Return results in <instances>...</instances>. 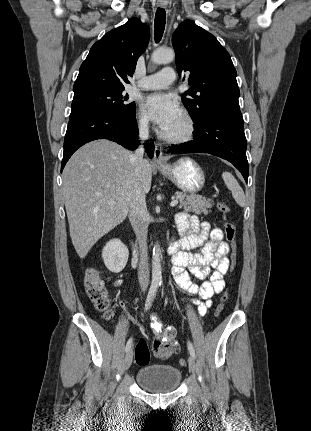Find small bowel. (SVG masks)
Here are the masks:
<instances>
[{
  "label": "small bowel",
  "mask_w": 311,
  "mask_h": 431,
  "mask_svg": "<svg viewBox=\"0 0 311 431\" xmlns=\"http://www.w3.org/2000/svg\"><path fill=\"white\" fill-rule=\"evenodd\" d=\"M176 225L180 239L174 243L171 253L173 274L186 293L198 297L192 301L204 314L211 306V298L225 287L229 245L223 241L220 228H211L208 222H201L195 215L178 213ZM185 269L202 283H193ZM151 327L157 335L163 334L165 339L174 341L176 330L173 327L163 328L156 315L151 317Z\"/></svg>",
  "instance_id": "small-bowel-1"
}]
</instances>
